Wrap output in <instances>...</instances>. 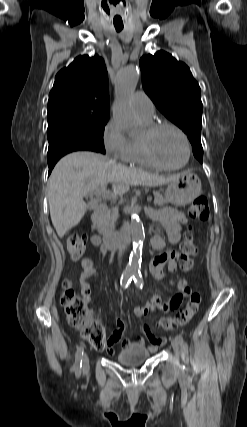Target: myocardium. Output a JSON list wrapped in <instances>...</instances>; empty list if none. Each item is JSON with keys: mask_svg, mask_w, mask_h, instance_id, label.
Here are the masks:
<instances>
[{"mask_svg": "<svg viewBox=\"0 0 247 427\" xmlns=\"http://www.w3.org/2000/svg\"><path fill=\"white\" fill-rule=\"evenodd\" d=\"M163 128H171L175 130L182 138L185 146V159L184 161L177 166H168L160 163L152 151V139L154 135ZM141 148L146 159L151 163L152 166L168 170V171H176L184 168L191 157V145L188 136L186 133L176 124L169 121H160L153 122L147 125L144 135L140 139Z\"/></svg>", "mask_w": 247, "mask_h": 427, "instance_id": "myocardium-1", "label": "myocardium"}]
</instances>
